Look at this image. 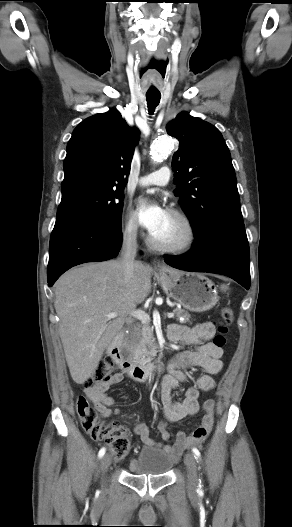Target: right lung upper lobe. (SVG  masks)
Instances as JSON below:
<instances>
[{
    "mask_svg": "<svg viewBox=\"0 0 292 527\" xmlns=\"http://www.w3.org/2000/svg\"><path fill=\"white\" fill-rule=\"evenodd\" d=\"M138 139L116 109L85 119L68 142L62 183L85 179L123 188Z\"/></svg>",
    "mask_w": 292,
    "mask_h": 527,
    "instance_id": "cb5924a9",
    "label": "right lung upper lobe"
}]
</instances>
